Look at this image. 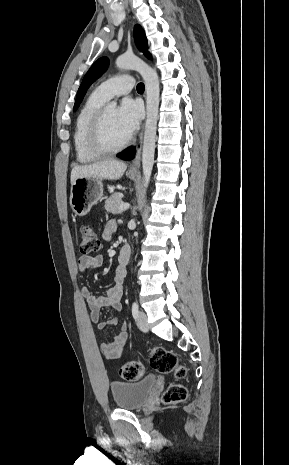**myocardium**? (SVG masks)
<instances>
[{"label": "myocardium", "mask_w": 289, "mask_h": 465, "mask_svg": "<svg viewBox=\"0 0 289 465\" xmlns=\"http://www.w3.org/2000/svg\"><path fill=\"white\" fill-rule=\"evenodd\" d=\"M109 105H103L94 114L88 130V144L91 150L100 155L113 154L125 149L131 139L127 138L118 145H110L105 137V119Z\"/></svg>", "instance_id": "1"}]
</instances>
